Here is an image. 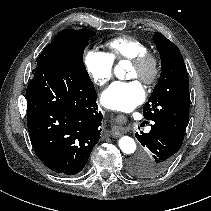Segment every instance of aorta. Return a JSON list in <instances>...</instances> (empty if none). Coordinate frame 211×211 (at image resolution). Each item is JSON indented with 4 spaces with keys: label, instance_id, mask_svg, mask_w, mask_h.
<instances>
[{
    "label": "aorta",
    "instance_id": "aorta-1",
    "mask_svg": "<svg viewBox=\"0 0 211 211\" xmlns=\"http://www.w3.org/2000/svg\"><path fill=\"white\" fill-rule=\"evenodd\" d=\"M121 69H122L121 64H119L115 67V70H114L115 75L118 78L121 76ZM118 144H119V148L121 149V151L125 154H132L136 150L135 141L129 136L121 137L118 141Z\"/></svg>",
    "mask_w": 211,
    "mask_h": 211
}]
</instances>
